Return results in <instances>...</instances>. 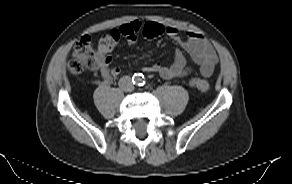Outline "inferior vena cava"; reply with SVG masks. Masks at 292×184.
Returning <instances> with one entry per match:
<instances>
[{"label":"inferior vena cava","mask_w":292,"mask_h":184,"mask_svg":"<svg viewBox=\"0 0 292 184\" xmlns=\"http://www.w3.org/2000/svg\"><path fill=\"white\" fill-rule=\"evenodd\" d=\"M118 85L125 92H131L134 90V85H133L132 80L129 76H124V77L120 78Z\"/></svg>","instance_id":"1"}]
</instances>
